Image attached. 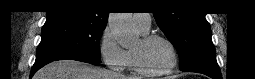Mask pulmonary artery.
Listing matches in <instances>:
<instances>
[{"instance_id":"1","label":"pulmonary artery","mask_w":255,"mask_h":79,"mask_svg":"<svg viewBox=\"0 0 255 79\" xmlns=\"http://www.w3.org/2000/svg\"><path fill=\"white\" fill-rule=\"evenodd\" d=\"M133 21L135 26L142 32L146 33L151 26L150 14H134Z\"/></svg>"}]
</instances>
